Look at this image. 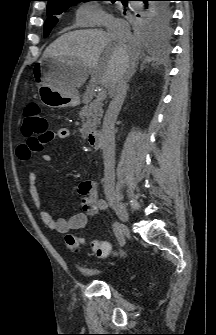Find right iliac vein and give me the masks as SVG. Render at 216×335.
<instances>
[{
  "label": "right iliac vein",
  "mask_w": 216,
  "mask_h": 335,
  "mask_svg": "<svg viewBox=\"0 0 216 335\" xmlns=\"http://www.w3.org/2000/svg\"><path fill=\"white\" fill-rule=\"evenodd\" d=\"M106 197L108 202L116 212L117 216L119 217V219L124 223L128 222L129 214L127 212L125 205L121 202V200L115 194L110 192L106 194ZM124 231L127 233L128 232L127 228H124Z\"/></svg>",
  "instance_id": "63e3f726"
}]
</instances>
